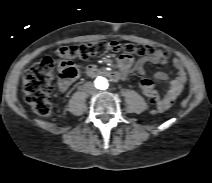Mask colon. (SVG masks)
<instances>
[{"mask_svg": "<svg viewBox=\"0 0 212 183\" xmlns=\"http://www.w3.org/2000/svg\"><path fill=\"white\" fill-rule=\"evenodd\" d=\"M110 52H123L124 55L128 56L137 55L164 60L169 56L167 51L159 50L150 45L121 44L116 41H97L63 46L57 50V55L62 57L63 60L54 61L50 57H45L25 72L23 91L26 103L37 115L46 118L51 117L53 108L50 94L55 66L60 69L62 77L75 79L78 76V69L73 63L74 59H86ZM141 88L153 107L156 108L162 100L160 94L151 86L150 81L143 82Z\"/></svg>", "mask_w": 212, "mask_h": 183, "instance_id": "1", "label": "colon"}]
</instances>
